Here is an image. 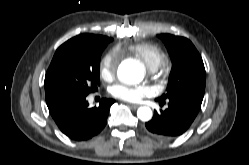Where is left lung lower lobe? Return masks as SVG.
Segmentation results:
<instances>
[{
    "label": "left lung lower lobe",
    "mask_w": 249,
    "mask_h": 165,
    "mask_svg": "<svg viewBox=\"0 0 249 165\" xmlns=\"http://www.w3.org/2000/svg\"><path fill=\"white\" fill-rule=\"evenodd\" d=\"M157 100L161 106L167 102L168 107L159 113L154 111L153 118L145 126L152 135L164 140L182 135L194 121L202 103V100L190 96Z\"/></svg>",
    "instance_id": "1"
}]
</instances>
